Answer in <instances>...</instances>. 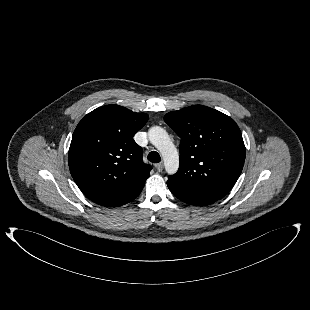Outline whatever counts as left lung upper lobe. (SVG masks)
Returning <instances> with one entry per match:
<instances>
[{"mask_svg":"<svg viewBox=\"0 0 310 310\" xmlns=\"http://www.w3.org/2000/svg\"><path fill=\"white\" fill-rule=\"evenodd\" d=\"M164 120L181 138L180 166L168 182L186 192L223 198L239 178L246 155L235 121L203 105L169 112Z\"/></svg>","mask_w":310,"mask_h":310,"instance_id":"left-lung-upper-lobe-1","label":"left lung upper lobe"}]
</instances>
